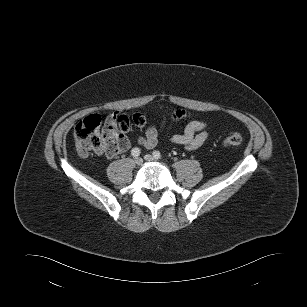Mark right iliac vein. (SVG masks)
<instances>
[{
  "mask_svg": "<svg viewBox=\"0 0 307 307\" xmlns=\"http://www.w3.org/2000/svg\"><path fill=\"white\" fill-rule=\"evenodd\" d=\"M134 162H135L136 165L140 166V165H142L143 160L141 158H135Z\"/></svg>",
  "mask_w": 307,
  "mask_h": 307,
  "instance_id": "right-iliac-vein-1",
  "label": "right iliac vein"
}]
</instances>
